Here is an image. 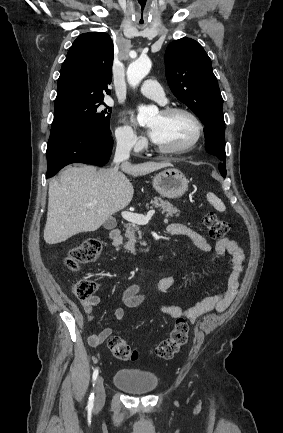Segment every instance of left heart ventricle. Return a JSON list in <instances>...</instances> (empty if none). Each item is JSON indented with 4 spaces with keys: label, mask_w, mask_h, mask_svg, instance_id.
<instances>
[{
    "label": "left heart ventricle",
    "mask_w": 283,
    "mask_h": 433,
    "mask_svg": "<svg viewBox=\"0 0 283 433\" xmlns=\"http://www.w3.org/2000/svg\"><path fill=\"white\" fill-rule=\"evenodd\" d=\"M149 126L158 134L157 148H182L196 134L195 122L188 115L182 113L166 117L159 112Z\"/></svg>",
    "instance_id": "obj_1"
}]
</instances>
